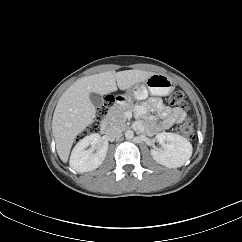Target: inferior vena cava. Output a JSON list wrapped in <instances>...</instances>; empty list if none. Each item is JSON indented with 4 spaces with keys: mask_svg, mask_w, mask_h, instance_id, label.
<instances>
[{
    "mask_svg": "<svg viewBox=\"0 0 242 242\" xmlns=\"http://www.w3.org/2000/svg\"><path fill=\"white\" fill-rule=\"evenodd\" d=\"M107 135L111 139H118L122 135V129L118 125H110L107 129Z\"/></svg>",
    "mask_w": 242,
    "mask_h": 242,
    "instance_id": "602c4592",
    "label": "inferior vena cava"
}]
</instances>
